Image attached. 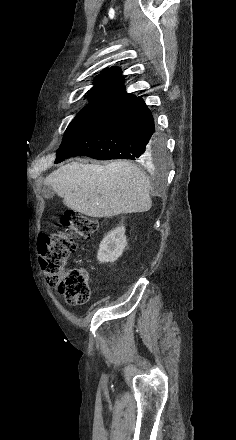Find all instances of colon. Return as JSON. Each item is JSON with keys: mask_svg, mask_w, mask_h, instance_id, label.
<instances>
[{"mask_svg": "<svg viewBox=\"0 0 236 440\" xmlns=\"http://www.w3.org/2000/svg\"><path fill=\"white\" fill-rule=\"evenodd\" d=\"M64 228L39 236L40 265L50 286L56 287L67 303L80 305L90 298L89 275L84 268L68 267L78 243L98 231L99 221L74 211L60 218Z\"/></svg>", "mask_w": 236, "mask_h": 440, "instance_id": "1", "label": "colon"}]
</instances>
